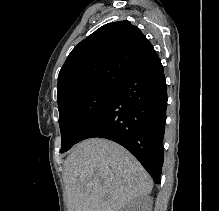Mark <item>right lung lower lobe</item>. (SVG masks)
<instances>
[{
    "mask_svg": "<svg viewBox=\"0 0 219 211\" xmlns=\"http://www.w3.org/2000/svg\"><path fill=\"white\" fill-rule=\"evenodd\" d=\"M166 107V81L158 57L116 86L106 105L76 142L93 137L117 142L129 150L159 184L164 157Z\"/></svg>",
    "mask_w": 219,
    "mask_h": 211,
    "instance_id": "98d812e1",
    "label": "right lung lower lobe"
}]
</instances>
